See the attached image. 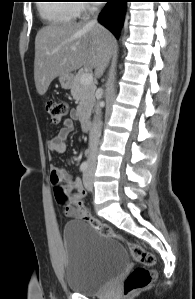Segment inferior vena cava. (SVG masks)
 <instances>
[{
  "label": "inferior vena cava",
  "mask_w": 195,
  "mask_h": 299,
  "mask_svg": "<svg viewBox=\"0 0 195 299\" xmlns=\"http://www.w3.org/2000/svg\"><path fill=\"white\" fill-rule=\"evenodd\" d=\"M97 10V9H93ZM97 23L96 19L89 22L91 25H95ZM95 119L93 121L92 128L89 133V155H88V163L90 166H95L97 161V153H98V145H99V138L101 135L100 129V104L97 103L95 109Z\"/></svg>",
  "instance_id": "602c4592"
}]
</instances>
